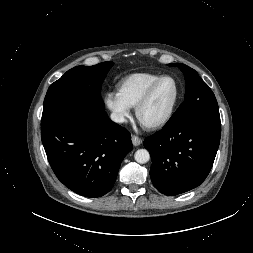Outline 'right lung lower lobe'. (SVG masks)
I'll use <instances>...</instances> for the list:
<instances>
[{"instance_id": "98d812e1", "label": "right lung lower lobe", "mask_w": 253, "mask_h": 253, "mask_svg": "<svg viewBox=\"0 0 253 253\" xmlns=\"http://www.w3.org/2000/svg\"><path fill=\"white\" fill-rule=\"evenodd\" d=\"M41 138L57 178L85 197L112 189L133 148L130 133L109 119L104 106L65 107L42 118Z\"/></svg>"}]
</instances>
